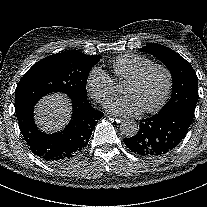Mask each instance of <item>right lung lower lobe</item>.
<instances>
[{
	"label": "right lung lower lobe",
	"mask_w": 207,
	"mask_h": 207,
	"mask_svg": "<svg viewBox=\"0 0 207 207\" xmlns=\"http://www.w3.org/2000/svg\"><path fill=\"white\" fill-rule=\"evenodd\" d=\"M71 121L62 131L46 134L34 123V105L16 111L20 131L31 151L52 165H63L75 160L85 150L92 130L104 114L87 101H73Z\"/></svg>",
	"instance_id": "98d812e1"
}]
</instances>
